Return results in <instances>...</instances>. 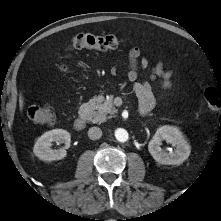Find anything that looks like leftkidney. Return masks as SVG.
I'll return each mask as SVG.
<instances>
[{"label": "left kidney", "instance_id": "1", "mask_svg": "<svg viewBox=\"0 0 221 221\" xmlns=\"http://www.w3.org/2000/svg\"><path fill=\"white\" fill-rule=\"evenodd\" d=\"M163 140L175 147V150L163 151L160 147ZM148 150L154 160L164 165H180L189 157L191 152L190 145L181 131L177 127L168 125L157 129L153 138L149 141Z\"/></svg>", "mask_w": 221, "mask_h": 221}]
</instances>
